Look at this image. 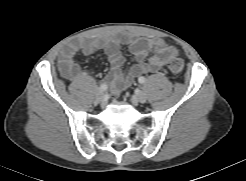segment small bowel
<instances>
[{
    "label": "small bowel",
    "mask_w": 246,
    "mask_h": 181,
    "mask_svg": "<svg viewBox=\"0 0 246 181\" xmlns=\"http://www.w3.org/2000/svg\"><path fill=\"white\" fill-rule=\"evenodd\" d=\"M122 45L129 47L136 60L126 73L122 71L126 60L120 50ZM79 51L86 55H93L98 51L105 53L111 64V71L103 81L112 88L114 95H118L142 74L163 71L169 58L178 53L177 49L161 39H143L128 33L103 39L81 37L67 43L60 52L58 65L64 78L76 80L81 76V68L74 61ZM151 52L153 54L150 56Z\"/></svg>",
    "instance_id": "obj_1"
}]
</instances>
